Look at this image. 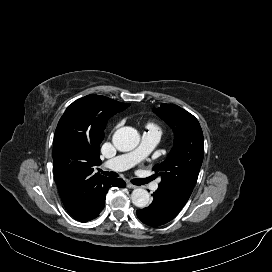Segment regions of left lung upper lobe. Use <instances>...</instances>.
<instances>
[{"instance_id":"obj_1","label":"left lung upper lobe","mask_w":272,"mask_h":272,"mask_svg":"<svg viewBox=\"0 0 272 272\" xmlns=\"http://www.w3.org/2000/svg\"><path fill=\"white\" fill-rule=\"evenodd\" d=\"M154 112L173 129L174 146L165 161L153 167L162 177L158 191L181 205L188 201L204 156V138L198 120L173 104H162Z\"/></svg>"}]
</instances>
